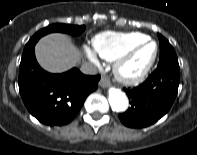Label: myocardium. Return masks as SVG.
<instances>
[{
	"instance_id": "1",
	"label": "myocardium",
	"mask_w": 197,
	"mask_h": 155,
	"mask_svg": "<svg viewBox=\"0 0 197 155\" xmlns=\"http://www.w3.org/2000/svg\"><path fill=\"white\" fill-rule=\"evenodd\" d=\"M152 44L154 46L153 54L147 64L136 72L127 70V64L131 58L144 46ZM158 55V45L150 38L131 46L122 53L114 64V75L118 81L126 85H135L142 82L153 68Z\"/></svg>"
}]
</instances>
